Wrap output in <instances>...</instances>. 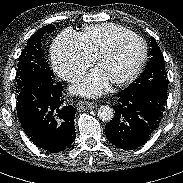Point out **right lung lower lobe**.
Wrapping results in <instances>:
<instances>
[{"mask_svg": "<svg viewBox=\"0 0 183 183\" xmlns=\"http://www.w3.org/2000/svg\"><path fill=\"white\" fill-rule=\"evenodd\" d=\"M17 113L23 130L39 148L60 152L75 139V109L64 103L63 86L54 80L30 84L17 93Z\"/></svg>", "mask_w": 183, "mask_h": 183, "instance_id": "98d812e1", "label": "right lung lower lobe"}]
</instances>
